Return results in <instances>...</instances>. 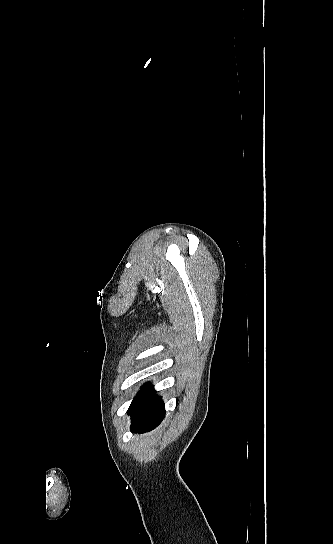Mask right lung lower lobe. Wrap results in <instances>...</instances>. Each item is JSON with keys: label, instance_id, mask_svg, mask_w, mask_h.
<instances>
[{"label": "right lung lower lobe", "instance_id": "1", "mask_svg": "<svg viewBox=\"0 0 333 544\" xmlns=\"http://www.w3.org/2000/svg\"><path fill=\"white\" fill-rule=\"evenodd\" d=\"M127 413L131 416V430L144 433L156 428L165 417V406L153 386L143 384Z\"/></svg>", "mask_w": 333, "mask_h": 544}]
</instances>
